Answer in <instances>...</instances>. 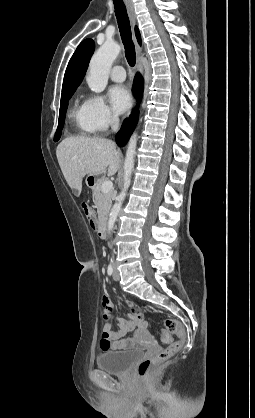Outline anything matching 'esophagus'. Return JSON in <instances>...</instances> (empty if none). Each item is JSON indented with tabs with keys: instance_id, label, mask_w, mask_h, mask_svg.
<instances>
[{
	"instance_id": "obj_1",
	"label": "esophagus",
	"mask_w": 255,
	"mask_h": 418,
	"mask_svg": "<svg viewBox=\"0 0 255 418\" xmlns=\"http://www.w3.org/2000/svg\"><path fill=\"white\" fill-rule=\"evenodd\" d=\"M125 3H126V6H127L129 18H130L131 25H132L133 39H134V42H135V45H136L137 70L142 71L141 58L143 56V52H142V48L138 45L137 40H136L135 35H134V26L136 24V16H135V12H134V6H133V4L130 0H125Z\"/></svg>"
}]
</instances>
